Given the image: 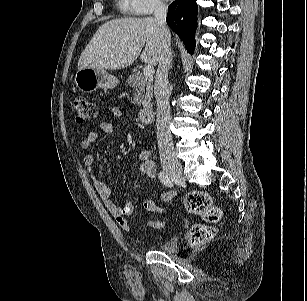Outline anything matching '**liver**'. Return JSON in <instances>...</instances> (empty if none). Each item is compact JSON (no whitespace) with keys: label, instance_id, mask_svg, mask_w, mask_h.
<instances>
[{"label":"liver","instance_id":"obj_1","mask_svg":"<svg viewBox=\"0 0 307 301\" xmlns=\"http://www.w3.org/2000/svg\"><path fill=\"white\" fill-rule=\"evenodd\" d=\"M161 49V31L155 17L113 19L96 31L81 53L78 69H121L139 55L143 62L157 65Z\"/></svg>","mask_w":307,"mask_h":301}]
</instances>
